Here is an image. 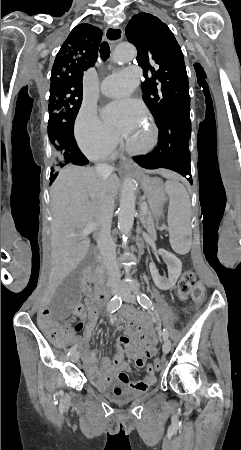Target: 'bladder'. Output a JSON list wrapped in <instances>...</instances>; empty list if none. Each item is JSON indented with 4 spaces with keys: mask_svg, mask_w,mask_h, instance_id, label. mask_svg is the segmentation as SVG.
Instances as JSON below:
<instances>
[{
    "mask_svg": "<svg viewBox=\"0 0 241 450\" xmlns=\"http://www.w3.org/2000/svg\"><path fill=\"white\" fill-rule=\"evenodd\" d=\"M104 393L110 400L119 403L129 402L140 396V392L119 381L110 386Z\"/></svg>",
    "mask_w": 241,
    "mask_h": 450,
    "instance_id": "31cf9c89",
    "label": "bladder"
}]
</instances>
